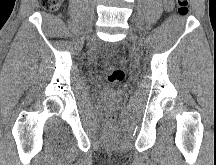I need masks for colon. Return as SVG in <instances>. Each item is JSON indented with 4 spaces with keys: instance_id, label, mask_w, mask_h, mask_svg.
Listing matches in <instances>:
<instances>
[{
    "instance_id": "obj_1",
    "label": "colon",
    "mask_w": 216,
    "mask_h": 165,
    "mask_svg": "<svg viewBox=\"0 0 216 165\" xmlns=\"http://www.w3.org/2000/svg\"><path fill=\"white\" fill-rule=\"evenodd\" d=\"M62 0H41V4L44 8L48 10H57L61 5ZM177 12L180 16H185L189 10V0H176ZM105 76L106 79L111 84H120L125 79L124 71L116 66H106L105 67ZM111 118L113 113L110 114Z\"/></svg>"
}]
</instances>
